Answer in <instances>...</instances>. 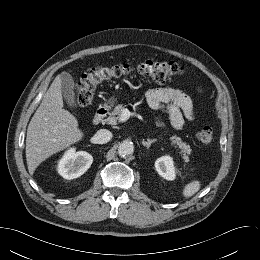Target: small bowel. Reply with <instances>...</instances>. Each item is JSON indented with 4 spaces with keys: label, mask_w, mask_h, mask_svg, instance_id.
<instances>
[{
    "label": "small bowel",
    "mask_w": 260,
    "mask_h": 260,
    "mask_svg": "<svg viewBox=\"0 0 260 260\" xmlns=\"http://www.w3.org/2000/svg\"><path fill=\"white\" fill-rule=\"evenodd\" d=\"M201 91L200 88H198ZM148 104L152 108H164L169 114L173 129L182 128L185 119L192 121L195 117L192 101L183 91L173 87H159L146 94Z\"/></svg>",
    "instance_id": "1"
}]
</instances>
